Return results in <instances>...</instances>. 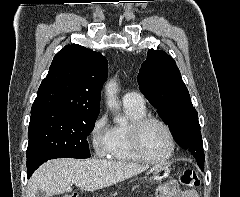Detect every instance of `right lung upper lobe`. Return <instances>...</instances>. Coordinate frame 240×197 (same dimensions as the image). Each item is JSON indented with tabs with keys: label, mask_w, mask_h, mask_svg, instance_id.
<instances>
[{
	"label": "right lung upper lobe",
	"mask_w": 240,
	"mask_h": 197,
	"mask_svg": "<svg viewBox=\"0 0 240 197\" xmlns=\"http://www.w3.org/2000/svg\"><path fill=\"white\" fill-rule=\"evenodd\" d=\"M107 66L106 58L99 52L77 44L66 45L55 55L41 82L31 113H99Z\"/></svg>",
	"instance_id": "right-lung-upper-lobe-1"
}]
</instances>
